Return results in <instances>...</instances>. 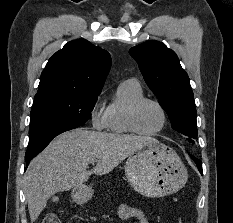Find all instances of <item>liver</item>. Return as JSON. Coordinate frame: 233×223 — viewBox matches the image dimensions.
Here are the masks:
<instances>
[{"instance_id":"obj_1","label":"liver","mask_w":233,"mask_h":223,"mask_svg":"<svg viewBox=\"0 0 233 223\" xmlns=\"http://www.w3.org/2000/svg\"><path fill=\"white\" fill-rule=\"evenodd\" d=\"M88 129L77 127L60 133L31 159L23 181L31 223L54 193L83 185L92 173L105 175L145 143H158L155 137ZM95 159L96 165L88 171Z\"/></svg>"}]
</instances>
